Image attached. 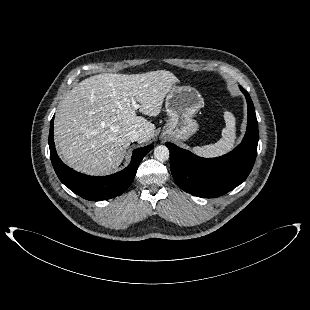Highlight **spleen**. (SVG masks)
<instances>
[{
  "mask_svg": "<svg viewBox=\"0 0 310 310\" xmlns=\"http://www.w3.org/2000/svg\"><path fill=\"white\" fill-rule=\"evenodd\" d=\"M226 127L222 130V138L215 144L197 146L193 151L203 157H216L229 152L235 143L236 138V119L234 115L226 111L224 113Z\"/></svg>",
  "mask_w": 310,
  "mask_h": 310,
  "instance_id": "obj_1",
  "label": "spleen"
}]
</instances>
